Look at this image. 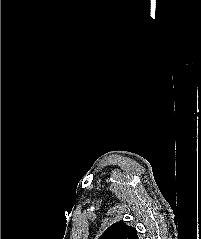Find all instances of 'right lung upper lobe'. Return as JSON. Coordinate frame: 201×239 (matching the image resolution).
<instances>
[{
  "label": "right lung upper lobe",
  "instance_id": "1",
  "mask_svg": "<svg viewBox=\"0 0 201 239\" xmlns=\"http://www.w3.org/2000/svg\"><path fill=\"white\" fill-rule=\"evenodd\" d=\"M99 239H138L133 227L127 226L123 221L112 224Z\"/></svg>",
  "mask_w": 201,
  "mask_h": 239
}]
</instances>
